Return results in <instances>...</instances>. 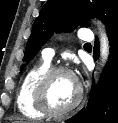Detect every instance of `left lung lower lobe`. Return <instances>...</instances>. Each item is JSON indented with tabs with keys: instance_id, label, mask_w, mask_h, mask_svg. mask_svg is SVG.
<instances>
[{
	"instance_id": "1",
	"label": "left lung lower lobe",
	"mask_w": 118,
	"mask_h": 123,
	"mask_svg": "<svg viewBox=\"0 0 118 123\" xmlns=\"http://www.w3.org/2000/svg\"><path fill=\"white\" fill-rule=\"evenodd\" d=\"M110 55L96 87L91 89L88 104L65 123H118V14L106 24ZM99 56L96 39L94 59Z\"/></svg>"
}]
</instances>
